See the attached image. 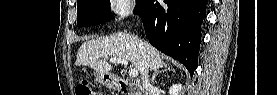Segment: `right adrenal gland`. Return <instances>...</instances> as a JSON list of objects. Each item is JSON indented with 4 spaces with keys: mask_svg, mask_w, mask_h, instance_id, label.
<instances>
[{
    "mask_svg": "<svg viewBox=\"0 0 277 95\" xmlns=\"http://www.w3.org/2000/svg\"><path fill=\"white\" fill-rule=\"evenodd\" d=\"M166 71H170V68H161L160 70L154 71L153 76H152L151 83L154 84L157 75H158V74H161V73H164V72H166Z\"/></svg>",
    "mask_w": 277,
    "mask_h": 95,
    "instance_id": "right-adrenal-gland-1",
    "label": "right adrenal gland"
}]
</instances>
